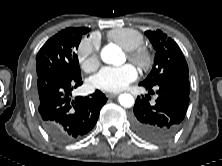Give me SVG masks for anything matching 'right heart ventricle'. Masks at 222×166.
Listing matches in <instances>:
<instances>
[{
  "instance_id": "obj_1",
  "label": "right heart ventricle",
  "mask_w": 222,
  "mask_h": 166,
  "mask_svg": "<svg viewBox=\"0 0 222 166\" xmlns=\"http://www.w3.org/2000/svg\"><path fill=\"white\" fill-rule=\"evenodd\" d=\"M108 38L119 44L126 51L141 47L144 43L140 32L130 28L114 29L108 32Z\"/></svg>"
}]
</instances>
